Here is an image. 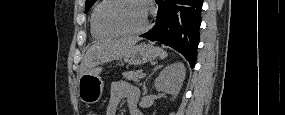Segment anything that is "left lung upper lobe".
I'll return each instance as SVG.
<instances>
[{"label": "left lung upper lobe", "instance_id": "5c2ea615", "mask_svg": "<svg viewBox=\"0 0 285 115\" xmlns=\"http://www.w3.org/2000/svg\"><path fill=\"white\" fill-rule=\"evenodd\" d=\"M96 0H86L85 3V12L89 10V8L95 3Z\"/></svg>", "mask_w": 285, "mask_h": 115}]
</instances>
